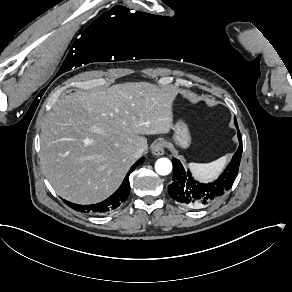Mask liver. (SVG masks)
Returning <instances> with one entry per match:
<instances>
[{"mask_svg":"<svg viewBox=\"0 0 292 292\" xmlns=\"http://www.w3.org/2000/svg\"><path fill=\"white\" fill-rule=\"evenodd\" d=\"M174 90L147 82L66 95L41 128V168L57 195L95 204L113 194L137 160L141 135L168 133ZM95 130V131H93Z\"/></svg>","mask_w":292,"mask_h":292,"instance_id":"liver-1","label":"liver"}]
</instances>
